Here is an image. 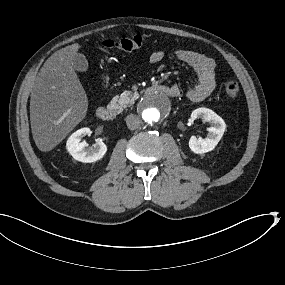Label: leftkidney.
<instances>
[{
	"label": "left kidney",
	"instance_id": "obj_1",
	"mask_svg": "<svg viewBox=\"0 0 285 285\" xmlns=\"http://www.w3.org/2000/svg\"><path fill=\"white\" fill-rule=\"evenodd\" d=\"M192 119L207 121L212 126L207 129L206 137L196 138L192 136L189 140V148L195 154H205L215 149L223 137L226 124L224 120L210 109L198 108L193 111Z\"/></svg>",
	"mask_w": 285,
	"mask_h": 285
}]
</instances>
